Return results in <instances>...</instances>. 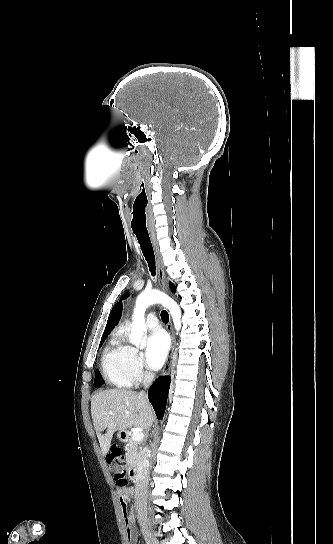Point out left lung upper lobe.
<instances>
[{
	"label": "left lung upper lobe",
	"instance_id": "1",
	"mask_svg": "<svg viewBox=\"0 0 333 544\" xmlns=\"http://www.w3.org/2000/svg\"><path fill=\"white\" fill-rule=\"evenodd\" d=\"M170 288H171V290H172L173 292H175V286H174L172 283H170ZM128 295H129V293H125V294L121 297V299L127 298Z\"/></svg>",
	"mask_w": 333,
	"mask_h": 544
}]
</instances>
